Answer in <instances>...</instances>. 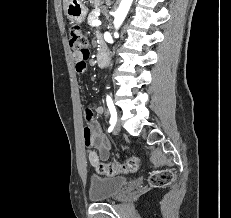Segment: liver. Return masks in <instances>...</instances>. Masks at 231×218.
<instances>
[{
	"instance_id": "obj_1",
	"label": "liver",
	"mask_w": 231,
	"mask_h": 218,
	"mask_svg": "<svg viewBox=\"0 0 231 218\" xmlns=\"http://www.w3.org/2000/svg\"><path fill=\"white\" fill-rule=\"evenodd\" d=\"M69 1L70 0H63V9H64V12H66L67 5H68Z\"/></svg>"
}]
</instances>
